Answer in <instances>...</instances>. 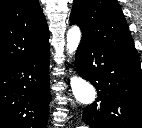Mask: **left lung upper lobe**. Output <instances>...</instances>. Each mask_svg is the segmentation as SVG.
Returning a JSON list of instances; mask_svg holds the SVG:
<instances>
[{
    "instance_id": "5c2ea615",
    "label": "left lung upper lobe",
    "mask_w": 142,
    "mask_h": 128,
    "mask_svg": "<svg viewBox=\"0 0 142 128\" xmlns=\"http://www.w3.org/2000/svg\"><path fill=\"white\" fill-rule=\"evenodd\" d=\"M70 22L80 26L82 37L93 39L126 57L139 60L117 0H74Z\"/></svg>"
}]
</instances>
